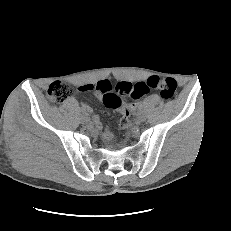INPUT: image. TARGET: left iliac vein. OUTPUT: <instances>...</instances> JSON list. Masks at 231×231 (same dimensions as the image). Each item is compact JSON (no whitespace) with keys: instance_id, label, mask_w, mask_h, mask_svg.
<instances>
[{"instance_id":"4c4485c4","label":"left iliac vein","mask_w":231,"mask_h":231,"mask_svg":"<svg viewBox=\"0 0 231 231\" xmlns=\"http://www.w3.org/2000/svg\"><path fill=\"white\" fill-rule=\"evenodd\" d=\"M137 117L139 121H144L146 119V116L143 112H139Z\"/></svg>"}]
</instances>
